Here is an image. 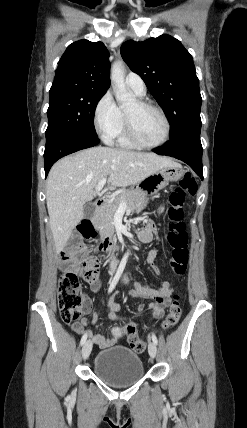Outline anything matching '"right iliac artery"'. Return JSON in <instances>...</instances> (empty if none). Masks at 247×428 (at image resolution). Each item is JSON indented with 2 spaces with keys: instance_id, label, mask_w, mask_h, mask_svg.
Masks as SVG:
<instances>
[{
  "instance_id": "1",
  "label": "right iliac artery",
  "mask_w": 247,
  "mask_h": 428,
  "mask_svg": "<svg viewBox=\"0 0 247 428\" xmlns=\"http://www.w3.org/2000/svg\"><path fill=\"white\" fill-rule=\"evenodd\" d=\"M126 262H127V257H123V259L120 262V265H119V267L117 269V272H116L114 278L110 282L108 293H111L113 291V289L115 288V286L117 285V283H118V281H119V279H120V277H121V275H122V273L124 271ZM87 336H88L87 333H85L82 336L81 341H80L81 345H83L86 342Z\"/></svg>"
}]
</instances>
